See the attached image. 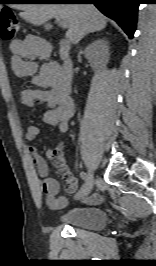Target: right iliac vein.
I'll return each instance as SVG.
<instances>
[{"instance_id": "63e3f726", "label": "right iliac vein", "mask_w": 156, "mask_h": 266, "mask_svg": "<svg viewBox=\"0 0 156 266\" xmlns=\"http://www.w3.org/2000/svg\"><path fill=\"white\" fill-rule=\"evenodd\" d=\"M93 184H94V173L92 169H89L87 173V179L85 180V188L81 193H78L76 198L87 196L91 192Z\"/></svg>"}]
</instances>
